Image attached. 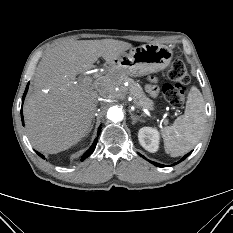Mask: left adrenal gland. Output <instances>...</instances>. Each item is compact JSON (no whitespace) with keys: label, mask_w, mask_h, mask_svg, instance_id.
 <instances>
[{"label":"left adrenal gland","mask_w":233,"mask_h":233,"mask_svg":"<svg viewBox=\"0 0 233 233\" xmlns=\"http://www.w3.org/2000/svg\"><path fill=\"white\" fill-rule=\"evenodd\" d=\"M129 113H130V117L132 119V124H136L137 121H141L142 122V119H140L139 116H136L134 115L131 110H129Z\"/></svg>","instance_id":"left-adrenal-gland-1"}]
</instances>
